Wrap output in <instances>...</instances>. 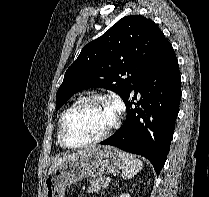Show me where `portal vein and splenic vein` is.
Returning a JSON list of instances; mask_svg holds the SVG:
<instances>
[{
  "label": "portal vein and splenic vein",
  "instance_id": "obj_1",
  "mask_svg": "<svg viewBox=\"0 0 209 197\" xmlns=\"http://www.w3.org/2000/svg\"><path fill=\"white\" fill-rule=\"evenodd\" d=\"M106 182L110 183L111 179L110 178H106Z\"/></svg>",
  "mask_w": 209,
  "mask_h": 197
}]
</instances>
